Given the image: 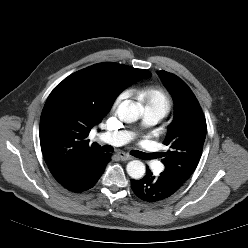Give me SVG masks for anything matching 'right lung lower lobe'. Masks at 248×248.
Wrapping results in <instances>:
<instances>
[{"label":"right lung lower lobe","mask_w":248,"mask_h":248,"mask_svg":"<svg viewBox=\"0 0 248 248\" xmlns=\"http://www.w3.org/2000/svg\"><path fill=\"white\" fill-rule=\"evenodd\" d=\"M110 154L94 153L84 158L71 172L69 178L60 183L69 191L80 193L92 188L103 174Z\"/></svg>","instance_id":"1"}]
</instances>
